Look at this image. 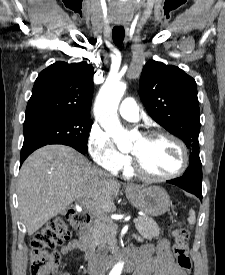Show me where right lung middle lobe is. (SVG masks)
<instances>
[{
  "label": "right lung middle lobe",
  "mask_w": 225,
  "mask_h": 275,
  "mask_svg": "<svg viewBox=\"0 0 225 275\" xmlns=\"http://www.w3.org/2000/svg\"><path fill=\"white\" fill-rule=\"evenodd\" d=\"M89 114L44 113L24 122L23 146L33 143L64 144L87 153Z\"/></svg>",
  "instance_id": "obj_1"
}]
</instances>
